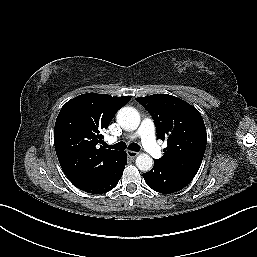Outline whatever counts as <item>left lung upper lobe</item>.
I'll use <instances>...</instances> for the list:
<instances>
[{"label":"left lung upper lobe","mask_w":257,"mask_h":257,"mask_svg":"<svg viewBox=\"0 0 257 257\" xmlns=\"http://www.w3.org/2000/svg\"><path fill=\"white\" fill-rule=\"evenodd\" d=\"M136 100L151 114L157 137L167 140L164 156L158 161L197 172L207 143L205 124L198 110L168 94H154Z\"/></svg>","instance_id":"left-lung-upper-lobe-1"}]
</instances>
